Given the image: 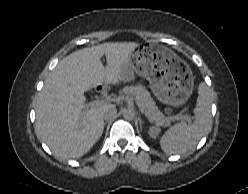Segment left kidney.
Segmentation results:
<instances>
[{
  "instance_id": "obj_1",
  "label": "left kidney",
  "mask_w": 248,
  "mask_h": 194,
  "mask_svg": "<svg viewBox=\"0 0 248 194\" xmlns=\"http://www.w3.org/2000/svg\"><path fill=\"white\" fill-rule=\"evenodd\" d=\"M160 130L158 127H151L148 131L149 135L151 138L155 139L157 137V135L159 134Z\"/></svg>"
}]
</instances>
